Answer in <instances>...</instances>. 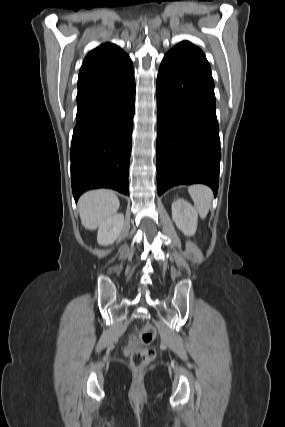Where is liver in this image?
I'll return each mask as SVG.
<instances>
[{
    "instance_id": "6515ba94",
    "label": "liver",
    "mask_w": 285,
    "mask_h": 427,
    "mask_svg": "<svg viewBox=\"0 0 285 427\" xmlns=\"http://www.w3.org/2000/svg\"><path fill=\"white\" fill-rule=\"evenodd\" d=\"M120 206L118 197L108 190H93L83 194L78 201L82 225L95 230L101 223L116 214Z\"/></svg>"
}]
</instances>
